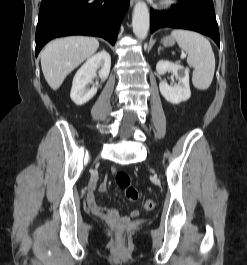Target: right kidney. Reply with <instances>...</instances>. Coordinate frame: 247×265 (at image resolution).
<instances>
[{"instance_id":"right-kidney-1","label":"right kidney","mask_w":247,"mask_h":265,"mask_svg":"<svg viewBox=\"0 0 247 265\" xmlns=\"http://www.w3.org/2000/svg\"><path fill=\"white\" fill-rule=\"evenodd\" d=\"M110 67L111 57L107 51L103 50L90 57L74 76L70 93L72 101L78 106L87 103L97 93V86L88 87L96 76V71L99 69V77L106 79L109 76Z\"/></svg>"}]
</instances>
